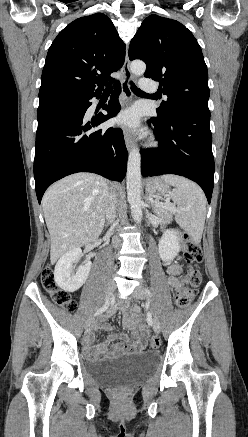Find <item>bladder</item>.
<instances>
[{"instance_id": "31cf9c89", "label": "bladder", "mask_w": 248, "mask_h": 437, "mask_svg": "<svg viewBox=\"0 0 248 437\" xmlns=\"http://www.w3.org/2000/svg\"><path fill=\"white\" fill-rule=\"evenodd\" d=\"M158 355L154 352L129 353L88 365V374L105 384H127L148 374L155 366Z\"/></svg>"}]
</instances>
